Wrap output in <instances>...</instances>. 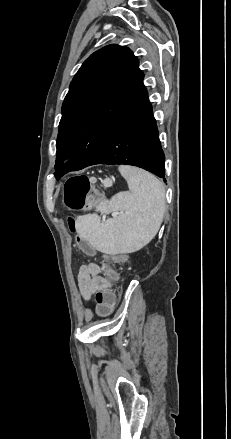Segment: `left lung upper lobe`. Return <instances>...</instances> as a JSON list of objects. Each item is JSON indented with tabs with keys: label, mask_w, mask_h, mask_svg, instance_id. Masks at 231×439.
I'll list each match as a JSON object with an SVG mask.
<instances>
[{
	"label": "left lung upper lobe",
	"mask_w": 231,
	"mask_h": 439,
	"mask_svg": "<svg viewBox=\"0 0 231 439\" xmlns=\"http://www.w3.org/2000/svg\"><path fill=\"white\" fill-rule=\"evenodd\" d=\"M139 61L124 46L94 52L74 76L62 105L55 177L85 168L142 91Z\"/></svg>",
	"instance_id": "5c2ea615"
}]
</instances>
